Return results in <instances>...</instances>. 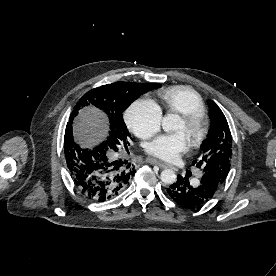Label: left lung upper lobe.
<instances>
[{"mask_svg": "<svg viewBox=\"0 0 276 276\" xmlns=\"http://www.w3.org/2000/svg\"><path fill=\"white\" fill-rule=\"evenodd\" d=\"M208 105L211 129L207 139L201 145L199 159L193 161L192 165L200 169L201 174L215 177L221 187L230 170L232 136L221 109L211 100H208Z\"/></svg>", "mask_w": 276, "mask_h": 276, "instance_id": "1", "label": "left lung upper lobe"}]
</instances>
